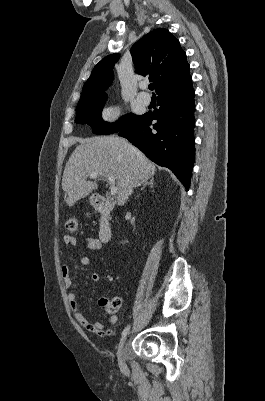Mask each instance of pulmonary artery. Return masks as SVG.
<instances>
[{
    "mask_svg": "<svg viewBox=\"0 0 265 401\" xmlns=\"http://www.w3.org/2000/svg\"><path fill=\"white\" fill-rule=\"evenodd\" d=\"M144 85V82H140L139 83V86L140 87H142ZM138 101L139 102H141V103H143V104H145V105H148L150 102H151V97L149 96V95H145V96H138Z\"/></svg>",
    "mask_w": 265,
    "mask_h": 401,
    "instance_id": "1",
    "label": "pulmonary artery"
}]
</instances>
